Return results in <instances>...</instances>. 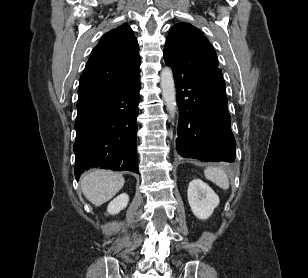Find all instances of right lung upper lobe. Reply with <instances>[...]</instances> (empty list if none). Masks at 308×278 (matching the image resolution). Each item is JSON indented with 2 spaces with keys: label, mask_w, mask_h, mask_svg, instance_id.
<instances>
[{
  "label": "right lung upper lobe",
  "mask_w": 308,
  "mask_h": 278,
  "mask_svg": "<svg viewBox=\"0 0 308 278\" xmlns=\"http://www.w3.org/2000/svg\"><path fill=\"white\" fill-rule=\"evenodd\" d=\"M138 42L123 24L108 33L92 50L80 77L78 100L116 93L140 77Z\"/></svg>",
  "instance_id": "1"
}]
</instances>
